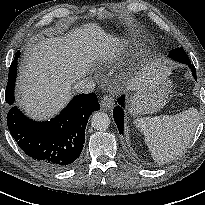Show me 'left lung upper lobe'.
Here are the masks:
<instances>
[{"label": "left lung upper lobe", "instance_id": "obj_1", "mask_svg": "<svg viewBox=\"0 0 205 205\" xmlns=\"http://www.w3.org/2000/svg\"><path fill=\"white\" fill-rule=\"evenodd\" d=\"M168 56L173 60L181 62L183 64L191 63L184 49L180 47L171 50Z\"/></svg>", "mask_w": 205, "mask_h": 205}]
</instances>
